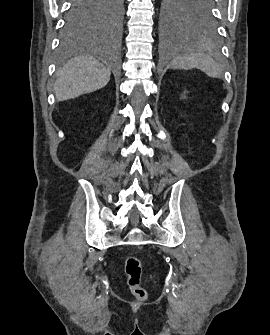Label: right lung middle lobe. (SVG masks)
<instances>
[{"label": "right lung middle lobe", "mask_w": 270, "mask_h": 335, "mask_svg": "<svg viewBox=\"0 0 270 335\" xmlns=\"http://www.w3.org/2000/svg\"><path fill=\"white\" fill-rule=\"evenodd\" d=\"M125 0H72L67 10L61 40L69 45L99 25L118 28Z\"/></svg>", "instance_id": "obj_1"}]
</instances>
